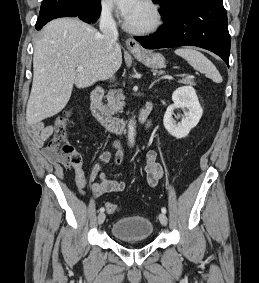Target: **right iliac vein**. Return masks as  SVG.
I'll list each match as a JSON object with an SVG mask.
<instances>
[{"instance_id":"63e3f726","label":"right iliac vein","mask_w":259,"mask_h":283,"mask_svg":"<svg viewBox=\"0 0 259 283\" xmlns=\"http://www.w3.org/2000/svg\"><path fill=\"white\" fill-rule=\"evenodd\" d=\"M105 218H106V215L105 213L101 212L99 215H98V224L101 225L104 221H105Z\"/></svg>"}]
</instances>
